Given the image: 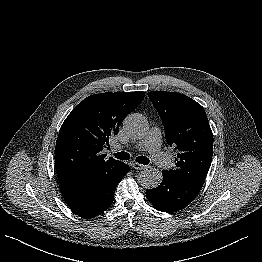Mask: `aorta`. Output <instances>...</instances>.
<instances>
[{
	"label": "aorta",
	"instance_id": "762f6f07",
	"mask_svg": "<svg viewBox=\"0 0 262 262\" xmlns=\"http://www.w3.org/2000/svg\"><path fill=\"white\" fill-rule=\"evenodd\" d=\"M125 131L134 138L142 137L147 131L145 118L138 113L129 114L123 122ZM163 179L162 172L155 168H146L138 176L139 184L146 189L158 187Z\"/></svg>",
	"mask_w": 262,
	"mask_h": 262
}]
</instances>
